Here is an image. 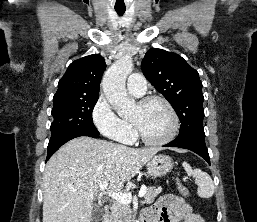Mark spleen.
Instances as JSON below:
<instances>
[{
    "label": "spleen",
    "instance_id": "1",
    "mask_svg": "<svg viewBox=\"0 0 257 222\" xmlns=\"http://www.w3.org/2000/svg\"><path fill=\"white\" fill-rule=\"evenodd\" d=\"M182 165L187 174L195 179V183L198 185V195L201 198L212 197L215 187L210 175L200 169H192V167L187 162H183Z\"/></svg>",
    "mask_w": 257,
    "mask_h": 222
}]
</instances>
